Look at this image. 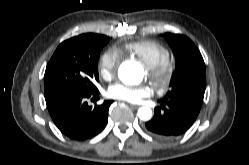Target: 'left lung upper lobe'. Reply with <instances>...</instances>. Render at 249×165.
I'll return each mask as SVG.
<instances>
[{
	"label": "left lung upper lobe",
	"instance_id": "5c2ea615",
	"mask_svg": "<svg viewBox=\"0 0 249 165\" xmlns=\"http://www.w3.org/2000/svg\"><path fill=\"white\" fill-rule=\"evenodd\" d=\"M177 52L178 67L172 75V90L168 97L183 93L204 96L206 87L205 64L200 51L186 36L167 33Z\"/></svg>",
	"mask_w": 249,
	"mask_h": 165
}]
</instances>
